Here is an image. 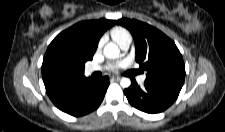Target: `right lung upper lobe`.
<instances>
[{
    "label": "right lung upper lobe",
    "mask_w": 225,
    "mask_h": 132,
    "mask_svg": "<svg viewBox=\"0 0 225 132\" xmlns=\"http://www.w3.org/2000/svg\"><path fill=\"white\" fill-rule=\"evenodd\" d=\"M115 23L107 19L81 21L54 38L42 64V77L48 95L84 77L85 62L93 58L100 37ZM56 54L66 55L72 64L57 66L53 61Z\"/></svg>",
    "instance_id": "right-lung-upper-lobe-1"
}]
</instances>
